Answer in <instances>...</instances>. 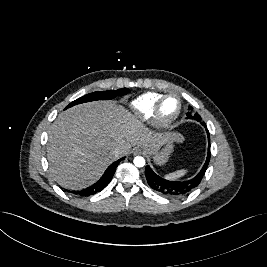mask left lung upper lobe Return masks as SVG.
Returning a JSON list of instances; mask_svg holds the SVG:
<instances>
[{
  "instance_id": "left-lung-upper-lobe-1",
  "label": "left lung upper lobe",
  "mask_w": 267,
  "mask_h": 267,
  "mask_svg": "<svg viewBox=\"0 0 267 267\" xmlns=\"http://www.w3.org/2000/svg\"><path fill=\"white\" fill-rule=\"evenodd\" d=\"M187 119H196V120H200V116H198V115H194V116H192L190 113H187Z\"/></svg>"
}]
</instances>
